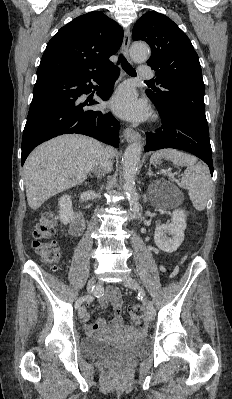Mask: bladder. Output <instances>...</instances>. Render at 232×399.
I'll return each instance as SVG.
<instances>
[{"mask_svg": "<svg viewBox=\"0 0 232 399\" xmlns=\"http://www.w3.org/2000/svg\"><path fill=\"white\" fill-rule=\"evenodd\" d=\"M148 351L145 340L130 345H121L102 341L98 338L85 337L79 343V354L86 359H103L109 357H138Z\"/></svg>", "mask_w": 232, "mask_h": 399, "instance_id": "31cf9c89", "label": "bladder"}]
</instances>
